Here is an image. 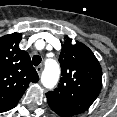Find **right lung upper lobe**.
<instances>
[{"instance_id":"1","label":"right lung upper lobe","mask_w":117,"mask_h":117,"mask_svg":"<svg viewBox=\"0 0 117 117\" xmlns=\"http://www.w3.org/2000/svg\"><path fill=\"white\" fill-rule=\"evenodd\" d=\"M21 33L0 37V113L14 108L28 88L39 80L27 52L20 50Z\"/></svg>"}]
</instances>
